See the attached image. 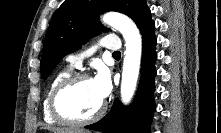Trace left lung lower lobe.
Masks as SVG:
<instances>
[{"instance_id": "obj_1", "label": "left lung lower lobe", "mask_w": 221, "mask_h": 133, "mask_svg": "<svg viewBox=\"0 0 221 133\" xmlns=\"http://www.w3.org/2000/svg\"><path fill=\"white\" fill-rule=\"evenodd\" d=\"M155 24L151 21L140 32L143 38L142 71L138 92L133 103L124 107L116 100L111 111L100 121L85 128L103 133H150L155 109L153 92L156 75Z\"/></svg>"}]
</instances>
